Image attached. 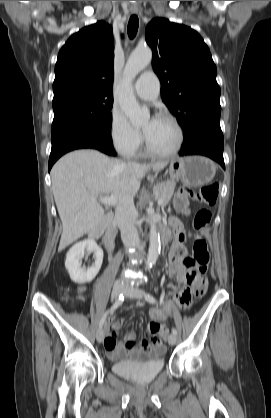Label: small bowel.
I'll return each instance as SVG.
<instances>
[{"mask_svg": "<svg viewBox=\"0 0 271 418\" xmlns=\"http://www.w3.org/2000/svg\"><path fill=\"white\" fill-rule=\"evenodd\" d=\"M169 224L176 237V241L170 253L169 272L171 276H173L177 280V282L182 284V288L178 290L175 297L177 305L180 308H186L189 306L191 302L190 286L194 285L195 277L194 274L188 271L183 265V261L186 257V250L184 247L186 236L182 224L175 217H172L170 219ZM168 313V307L165 310H152L151 322L156 323L160 326V323L167 318ZM123 324L124 319L122 318L112 319L113 331L111 333H107L104 337V347L110 358L118 359L122 356L145 357L149 355L161 354L165 351V347L158 337L165 335L166 330L163 327H160L156 332H152L156 335L154 338H157V341H154L153 338L152 343L143 340L139 345H136V335L134 332H128L125 335L124 342H118L116 340L115 334L122 328Z\"/></svg>", "mask_w": 271, "mask_h": 418, "instance_id": "c3829d8e", "label": "small bowel"}]
</instances>
